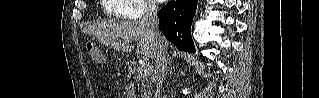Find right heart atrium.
I'll use <instances>...</instances> for the list:
<instances>
[{
	"mask_svg": "<svg viewBox=\"0 0 319 98\" xmlns=\"http://www.w3.org/2000/svg\"><path fill=\"white\" fill-rule=\"evenodd\" d=\"M128 8L122 14L126 19H140L148 17L157 12V8L150 2L144 0H126Z\"/></svg>",
	"mask_w": 319,
	"mask_h": 98,
	"instance_id": "d8ad5b80",
	"label": "right heart atrium"
}]
</instances>
